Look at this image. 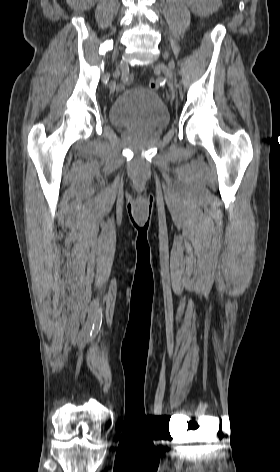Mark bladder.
Listing matches in <instances>:
<instances>
[{
    "instance_id": "bladder-1",
    "label": "bladder",
    "mask_w": 280,
    "mask_h": 472,
    "mask_svg": "<svg viewBox=\"0 0 280 472\" xmlns=\"http://www.w3.org/2000/svg\"><path fill=\"white\" fill-rule=\"evenodd\" d=\"M109 119L119 128L162 130L169 123V112L156 93L136 86L125 90L112 102Z\"/></svg>"
}]
</instances>
